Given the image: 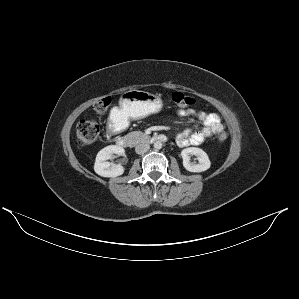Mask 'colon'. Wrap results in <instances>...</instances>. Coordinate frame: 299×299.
<instances>
[{"mask_svg":"<svg viewBox=\"0 0 299 299\" xmlns=\"http://www.w3.org/2000/svg\"><path fill=\"white\" fill-rule=\"evenodd\" d=\"M171 99L175 106L181 108H187L194 104V100L183 92H174ZM110 103L111 99L109 97L103 98L94 104L93 109L98 114H104ZM99 132V123L94 119L81 120L76 127V137L83 145L92 144L97 139ZM227 137L228 134L225 131L221 132L218 136L221 141L226 140Z\"/></svg>","mask_w":299,"mask_h":299,"instance_id":"5ec220e1","label":"colon"}]
</instances>
